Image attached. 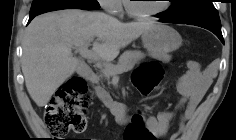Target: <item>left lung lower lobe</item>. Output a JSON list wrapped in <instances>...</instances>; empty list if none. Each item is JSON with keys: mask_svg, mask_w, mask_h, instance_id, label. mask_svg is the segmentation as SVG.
I'll return each mask as SVG.
<instances>
[{"mask_svg": "<svg viewBox=\"0 0 236 140\" xmlns=\"http://www.w3.org/2000/svg\"><path fill=\"white\" fill-rule=\"evenodd\" d=\"M159 21L160 22H166V23H179V24L196 25V26L205 28V29L213 32L221 40V42L224 44V39H223V36H222L221 28H219V27H214V26L205 25V24H198V23L172 22V21H169L165 16L160 17Z\"/></svg>", "mask_w": 236, "mask_h": 140, "instance_id": "obj_1", "label": "left lung lower lobe"}]
</instances>
